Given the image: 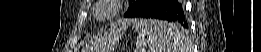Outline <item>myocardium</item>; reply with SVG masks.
Wrapping results in <instances>:
<instances>
[{"label":"myocardium","instance_id":"f54148a6","mask_svg":"<svg viewBox=\"0 0 261 52\" xmlns=\"http://www.w3.org/2000/svg\"><path fill=\"white\" fill-rule=\"evenodd\" d=\"M123 3V0H101L94 10V16L101 21L111 20L121 12Z\"/></svg>","mask_w":261,"mask_h":52}]
</instances>
